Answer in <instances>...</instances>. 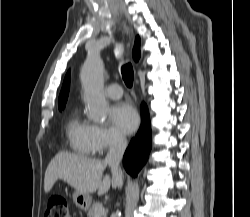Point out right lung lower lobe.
Instances as JSON below:
<instances>
[{
  "instance_id": "98d812e1",
  "label": "right lung lower lobe",
  "mask_w": 250,
  "mask_h": 217,
  "mask_svg": "<svg viewBox=\"0 0 250 217\" xmlns=\"http://www.w3.org/2000/svg\"><path fill=\"white\" fill-rule=\"evenodd\" d=\"M141 114L142 124L123 157L124 167L133 177L137 176L143 165L146 164L151 150V127L149 112L145 103L141 106Z\"/></svg>"
}]
</instances>
